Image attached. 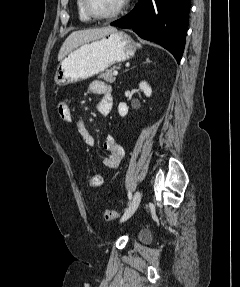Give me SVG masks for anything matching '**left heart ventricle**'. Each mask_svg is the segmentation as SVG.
Returning a JSON list of instances; mask_svg holds the SVG:
<instances>
[{
  "label": "left heart ventricle",
  "instance_id": "left-heart-ventricle-1",
  "mask_svg": "<svg viewBox=\"0 0 240 287\" xmlns=\"http://www.w3.org/2000/svg\"><path fill=\"white\" fill-rule=\"evenodd\" d=\"M93 10L100 14L105 15L115 10L122 0H90Z\"/></svg>",
  "mask_w": 240,
  "mask_h": 287
}]
</instances>
